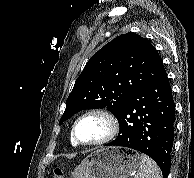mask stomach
I'll list each match as a JSON object with an SVG mask.
<instances>
[{
	"label": "stomach",
	"instance_id": "0dacf381",
	"mask_svg": "<svg viewBox=\"0 0 194 178\" xmlns=\"http://www.w3.org/2000/svg\"><path fill=\"white\" fill-rule=\"evenodd\" d=\"M140 164V155L129 148H102L90 153L71 178H128Z\"/></svg>",
	"mask_w": 194,
	"mask_h": 178
}]
</instances>
